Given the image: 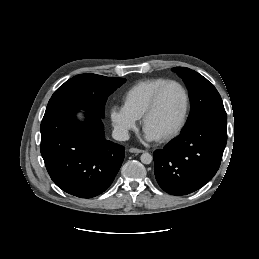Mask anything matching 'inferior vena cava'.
Instances as JSON below:
<instances>
[{
  "label": "inferior vena cava",
  "mask_w": 259,
  "mask_h": 259,
  "mask_svg": "<svg viewBox=\"0 0 259 259\" xmlns=\"http://www.w3.org/2000/svg\"><path fill=\"white\" fill-rule=\"evenodd\" d=\"M112 137L118 141H127L130 138L128 130L122 127H115Z\"/></svg>",
  "instance_id": "inferior-vena-cava-1"
}]
</instances>
